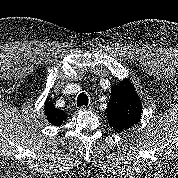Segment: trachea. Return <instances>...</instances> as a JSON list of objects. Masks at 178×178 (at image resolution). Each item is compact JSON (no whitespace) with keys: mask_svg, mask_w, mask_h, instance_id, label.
<instances>
[{"mask_svg":"<svg viewBox=\"0 0 178 178\" xmlns=\"http://www.w3.org/2000/svg\"><path fill=\"white\" fill-rule=\"evenodd\" d=\"M89 103V98L85 93H81L77 97V106H87Z\"/></svg>","mask_w":178,"mask_h":178,"instance_id":"trachea-1","label":"trachea"}]
</instances>
